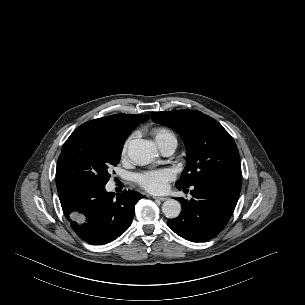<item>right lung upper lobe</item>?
<instances>
[{
    "label": "right lung upper lobe",
    "instance_id": "1",
    "mask_svg": "<svg viewBox=\"0 0 305 305\" xmlns=\"http://www.w3.org/2000/svg\"><path fill=\"white\" fill-rule=\"evenodd\" d=\"M148 119V114H115L88 121L79 127L108 135L116 141L125 142L131 131L135 129L139 123H144Z\"/></svg>",
    "mask_w": 305,
    "mask_h": 305
}]
</instances>
